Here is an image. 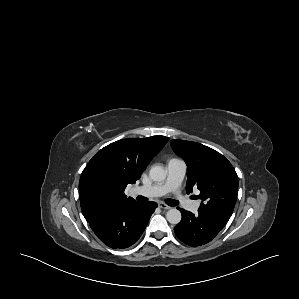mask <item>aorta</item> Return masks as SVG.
<instances>
[{
	"label": "aorta",
	"mask_w": 299,
	"mask_h": 299,
	"mask_svg": "<svg viewBox=\"0 0 299 299\" xmlns=\"http://www.w3.org/2000/svg\"><path fill=\"white\" fill-rule=\"evenodd\" d=\"M167 172L161 166H152L149 171V176L154 182H163L166 178ZM167 221L171 224H178L181 221V212L176 209H170L166 214Z\"/></svg>",
	"instance_id": "aorta-1"
}]
</instances>
